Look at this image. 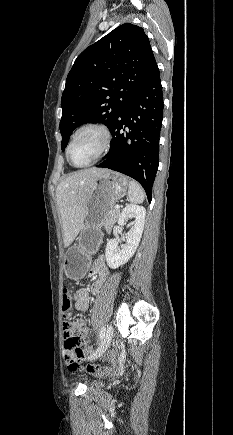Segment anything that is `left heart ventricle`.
<instances>
[{
    "mask_svg": "<svg viewBox=\"0 0 233 435\" xmlns=\"http://www.w3.org/2000/svg\"><path fill=\"white\" fill-rule=\"evenodd\" d=\"M101 136L95 131L80 134L70 149V159L75 165H83L91 161L99 151Z\"/></svg>",
    "mask_w": 233,
    "mask_h": 435,
    "instance_id": "1",
    "label": "left heart ventricle"
}]
</instances>
